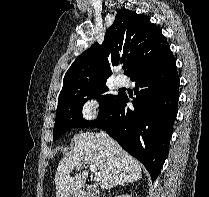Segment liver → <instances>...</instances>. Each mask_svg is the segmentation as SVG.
I'll use <instances>...</instances> for the list:
<instances>
[{"mask_svg":"<svg viewBox=\"0 0 209 197\" xmlns=\"http://www.w3.org/2000/svg\"><path fill=\"white\" fill-rule=\"evenodd\" d=\"M73 141L74 148L61 159L56 171V197H70L84 185L87 171L74 177L70 176L75 167L83 164L96 165L101 174L99 185L102 189L141 179L140 162L108 136L102 133L82 132L74 136Z\"/></svg>","mask_w":209,"mask_h":197,"instance_id":"obj_1","label":"liver"}]
</instances>
